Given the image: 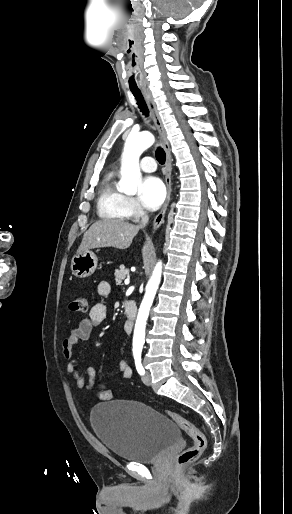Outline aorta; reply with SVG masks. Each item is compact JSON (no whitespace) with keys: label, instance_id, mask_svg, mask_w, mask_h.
Wrapping results in <instances>:
<instances>
[{"label":"aorta","instance_id":"762f6f07","mask_svg":"<svg viewBox=\"0 0 292 514\" xmlns=\"http://www.w3.org/2000/svg\"><path fill=\"white\" fill-rule=\"evenodd\" d=\"M155 138L150 132H140V134H129L123 152L121 180L119 182L120 190L134 196L137 192V186L141 180V172L139 168V158L147 148L154 144ZM162 274V264L158 262L155 270L146 286L145 296L139 308L133 338V348L142 350L145 338L146 320L149 316L150 308L153 304L155 294L158 290Z\"/></svg>","mask_w":292,"mask_h":514}]
</instances>
